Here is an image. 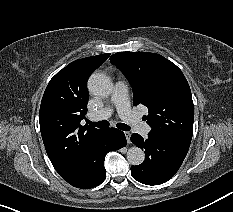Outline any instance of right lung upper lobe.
<instances>
[{
    "mask_svg": "<svg viewBox=\"0 0 233 212\" xmlns=\"http://www.w3.org/2000/svg\"><path fill=\"white\" fill-rule=\"evenodd\" d=\"M110 54L75 60L49 82L40 106L39 122L49 159L62 176L86 160L103 129L81 126L88 103L87 79Z\"/></svg>",
    "mask_w": 233,
    "mask_h": 212,
    "instance_id": "obj_1",
    "label": "right lung upper lobe"
}]
</instances>
